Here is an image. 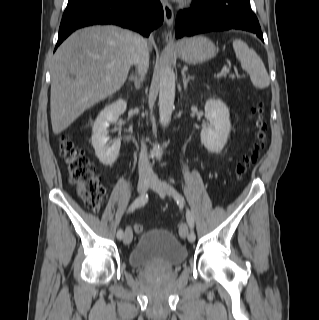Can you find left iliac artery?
<instances>
[{"label":"left iliac artery","mask_w":319,"mask_h":320,"mask_svg":"<svg viewBox=\"0 0 319 320\" xmlns=\"http://www.w3.org/2000/svg\"><path fill=\"white\" fill-rule=\"evenodd\" d=\"M176 199H177V201L184 202V198L182 196H180V195H176ZM186 219H187V222H188V224L190 226L189 241L190 242H194L195 239H196L195 233L193 231V228H194V216L189 210H187Z\"/></svg>","instance_id":"1"}]
</instances>
